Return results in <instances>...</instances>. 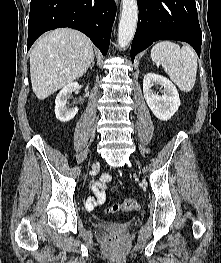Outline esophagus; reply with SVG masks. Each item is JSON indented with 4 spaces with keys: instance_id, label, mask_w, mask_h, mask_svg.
I'll use <instances>...</instances> for the list:
<instances>
[{
    "instance_id": "esophagus-1",
    "label": "esophagus",
    "mask_w": 221,
    "mask_h": 263,
    "mask_svg": "<svg viewBox=\"0 0 221 263\" xmlns=\"http://www.w3.org/2000/svg\"><path fill=\"white\" fill-rule=\"evenodd\" d=\"M119 0H115L116 3H118Z\"/></svg>"
}]
</instances>
